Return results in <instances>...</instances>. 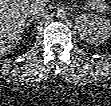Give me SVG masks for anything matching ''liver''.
<instances>
[{"instance_id":"obj_1","label":"liver","mask_w":111,"mask_h":106,"mask_svg":"<svg viewBox=\"0 0 111 106\" xmlns=\"http://www.w3.org/2000/svg\"><path fill=\"white\" fill-rule=\"evenodd\" d=\"M29 0L0 1V54L5 55L17 46L25 27Z\"/></svg>"}]
</instances>
